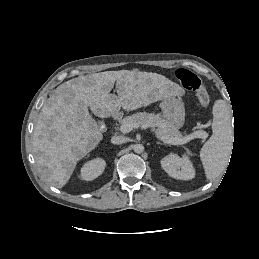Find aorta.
Listing matches in <instances>:
<instances>
[{
  "label": "aorta",
  "mask_w": 259,
  "mask_h": 259,
  "mask_svg": "<svg viewBox=\"0 0 259 259\" xmlns=\"http://www.w3.org/2000/svg\"><path fill=\"white\" fill-rule=\"evenodd\" d=\"M133 150L135 153L141 154L144 152V146L142 144H135Z\"/></svg>",
  "instance_id": "obj_1"
}]
</instances>
